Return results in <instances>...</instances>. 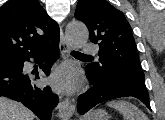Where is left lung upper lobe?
Returning <instances> with one entry per match:
<instances>
[{
	"label": "left lung upper lobe",
	"mask_w": 165,
	"mask_h": 120,
	"mask_svg": "<svg viewBox=\"0 0 165 120\" xmlns=\"http://www.w3.org/2000/svg\"><path fill=\"white\" fill-rule=\"evenodd\" d=\"M75 17L87 26L90 40L100 47V62L86 66L96 85L147 90L135 40L124 14L106 0H79Z\"/></svg>",
	"instance_id": "left-lung-upper-lobe-1"
}]
</instances>
